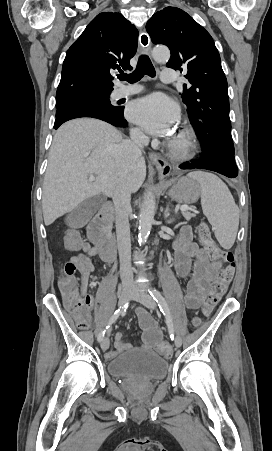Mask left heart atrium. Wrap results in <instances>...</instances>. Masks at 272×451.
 I'll list each match as a JSON object with an SVG mask.
<instances>
[{"instance_id":"1","label":"left heart atrium","mask_w":272,"mask_h":451,"mask_svg":"<svg viewBox=\"0 0 272 451\" xmlns=\"http://www.w3.org/2000/svg\"><path fill=\"white\" fill-rule=\"evenodd\" d=\"M129 117L150 134L163 136L178 122L179 109L167 96L156 94L133 103Z\"/></svg>"}]
</instances>
